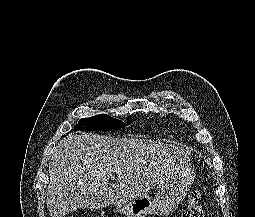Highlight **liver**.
Masks as SVG:
<instances>
[{
  "mask_svg": "<svg viewBox=\"0 0 255 217\" xmlns=\"http://www.w3.org/2000/svg\"><path fill=\"white\" fill-rule=\"evenodd\" d=\"M187 146L151 140L70 133L54 148L46 203L51 217L99 209L145 196L187 166ZM116 173V183L110 176Z\"/></svg>",
  "mask_w": 255,
  "mask_h": 217,
  "instance_id": "1",
  "label": "liver"
}]
</instances>
